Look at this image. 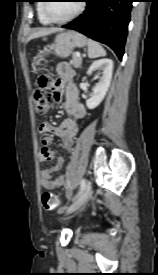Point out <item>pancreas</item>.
Instances as JSON below:
<instances>
[{"label": "pancreas", "instance_id": "obj_1", "mask_svg": "<svg viewBox=\"0 0 158 275\" xmlns=\"http://www.w3.org/2000/svg\"><path fill=\"white\" fill-rule=\"evenodd\" d=\"M72 65L75 68H81V64H82V58L76 56L75 53L72 54V61H71Z\"/></svg>", "mask_w": 158, "mask_h": 275}]
</instances>
